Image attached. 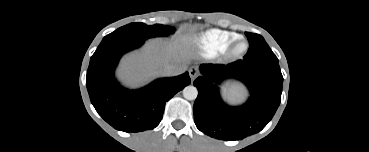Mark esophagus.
Masks as SVG:
<instances>
[{
	"label": "esophagus",
	"mask_w": 369,
	"mask_h": 152,
	"mask_svg": "<svg viewBox=\"0 0 369 152\" xmlns=\"http://www.w3.org/2000/svg\"><path fill=\"white\" fill-rule=\"evenodd\" d=\"M189 75H190L191 79L194 80L198 75L197 68L196 67H191L190 70H189Z\"/></svg>",
	"instance_id": "1"
}]
</instances>
